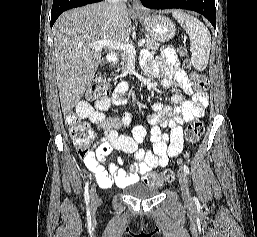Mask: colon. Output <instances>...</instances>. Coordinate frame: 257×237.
<instances>
[{"instance_id":"1","label":"colon","mask_w":257,"mask_h":237,"mask_svg":"<svg viewBox=\"0 0 257 237\" xmlns=\"http://www.w3.org/2000/svg\"><path fill=\"white\" fill-rule=\"evenodd\" d=\"M180 54L186 56L187 51L185 48H180ZM188 66V63H186ZM191 84L197 91H206L209 88V80L206 75L199 72L191 73ZM109 92V87L103 77L94 78L87 91L86 98L89 101L98 102L106 98ZM64 121L68 127L70 136L78 141L81 145L88 144L92 138L88 130V125L81 117L75 112H68L65 114ZM204 126L201 120H192L185 131V140L189 146H194L198 143L201 135L203 134ZM175 178L174 170H166L161 173L150 172L144 177V182L150 186L157 188L163 187L168 182Z\"/></svg>"}]
</instances>
